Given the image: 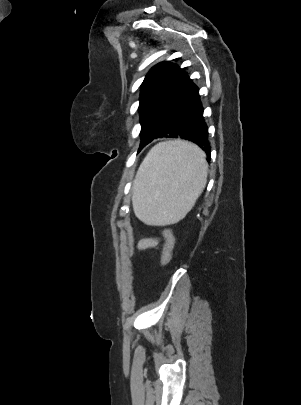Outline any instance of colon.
<instances>
[{
    "mask_svg": "<svg viewBox=\"0 0 301 405\" xmlns=\"http://www.w3.org/2000/svg\"><path fill=\"white\" fill-rule=\"evenodd\" d=\"M163 236L165 239V243L162 252L161 265L162 267H166L170 263L172 258L175 238L170 229H164Z\"/></svg>",
    "mask_w": 301,
    "mask_h": 405,
    "instance_id": "1",
    "label": "colon"
}]
</instances>
